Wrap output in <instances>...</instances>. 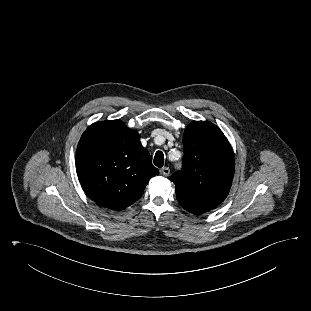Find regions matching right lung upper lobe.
<instances>
[{
    "instance_id": "cb5924a9",
    "label": "right lung upper lobe",
    "mask_w": 311,
    "mask_h": 311,
    "mask_svg": "<svg viewBox=\"0 0 311 311\" xmlns=\"http://www.w3.org/2000/svg\"><path fill=\"white\" fill-rule=\"evenodd\" d=\"M76 171L88 197L116 211L136 202L159 173L138 132L121 120L96 122L86 129L77 146Z\"/></svg>"
}]
</instances>
